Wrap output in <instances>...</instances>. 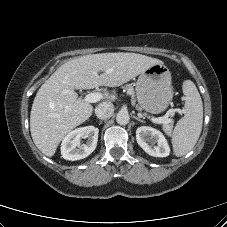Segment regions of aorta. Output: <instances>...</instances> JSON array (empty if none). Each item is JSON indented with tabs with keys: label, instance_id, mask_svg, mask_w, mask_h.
Returning a JSON list of instances; mask_svg holds the SVG:
<instances>
[{
	"label": "aorta",
	"instance_id": "aorta-1",
	"mask_svg": "<svg viewBox=\"0 0 227 227\" xmlns=\"http://www.w3.org/2000/svg\"><path fill=\"white\" fill-rule=\"evenodd\" d=\"M130 116L129 113L125 110H121L116 115V122L120 125H126L129 123Z\"/></svg>",
	"mask_w": 227,
	"mask_h": 227
}]
</instances>
